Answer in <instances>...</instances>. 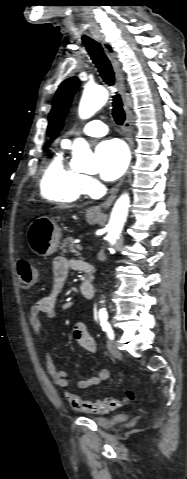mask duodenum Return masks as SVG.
Masks as SVG:
<instances>
[{"label": "duodenum", "mask_w": 187, "mask_h": 479, "mask_svg": "<svg viewBox=\"0 0 187 479\" xmlns=\"http://www.w3.org/2000/svg\"><path fill=\"white\" fill-rule=\"evenodd\" d=\"M86 272L88 274V277L80 283V292L85 299H92L95 294V286L91 280L92 268L90 270H87Z\"/></svg>", "instance_id": "obj_1"}]
</instances>
